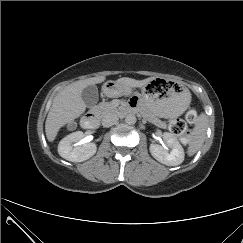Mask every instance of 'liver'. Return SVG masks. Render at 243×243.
<instances>
[{
  "instance_id": "6515ba94",
  "label": "liver",
  "mask_w": 243,
  "mask_h": 243,
  "mask_svg": "<svg viewBox=\"0 0 243 243\" xmlns=\"http://www.w3.org/2000/svg\"><path fill=\"white\" fill-rule=\"evenodd\" d=\"M152 79L150 77L144 80H135L123 77L118 79L117 82L128 87L136 88L147 85ZM104 80V76H98L76 81L56 95L45 122V132L49 142L55 140L61 127L74 121L85 112L86 105L81 97L83 89L89 85L102 83Z\"/></svg>"
}]
</instances>
